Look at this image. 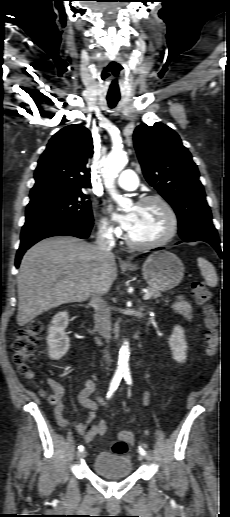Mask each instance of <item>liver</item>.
I'll use <instances>...</instances> for the list:
<instances>
[{
  "mask_svg": "<svg viewBox=\"0 0 230 517\" xmlns=\"http://www.w3.org/2000/svg\"><path fill=\"white\" fill-rule=\"evenodd\" d=\"M116 277L114 255H101L96 245L73 237L44 239L20 264L17 323L24 326L58 305L88 300L95 283L102 285V295Z\"/></svg>",
  "mask_w": 230,
  "mask_h": 517,
  "instance_id": "1",
  "label": "liver"
}]
</instances>
